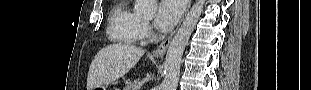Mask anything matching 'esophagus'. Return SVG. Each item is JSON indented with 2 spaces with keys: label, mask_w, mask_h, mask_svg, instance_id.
Listing matches in <instances>:
<instances>
[{
  "label": "esophagus",
  "mask_w": 311,
  "mask_h": 90,
  "mask_svg": "<svg viewBox=\"0 0 311 90\" xmlns=\"http://www.w3.org/2000/svg\"><path fill=\"white\" fill-rule=\"evenodd\" d=\"M190 5H191V0H187L186 9H185V12H184V14H183V16H182L181 21L183 20L185 14H186L187 11L189 10ZM174 34H175V32H173L170 36H168V37H167V38L152 52V55H153L154 57L159 58V57H162V56L165 54V52H166V50H167L169 44L171 43V40H172Z\"/></svg>",
  "instance_id": "esophagus-1"
}]
</instances>
